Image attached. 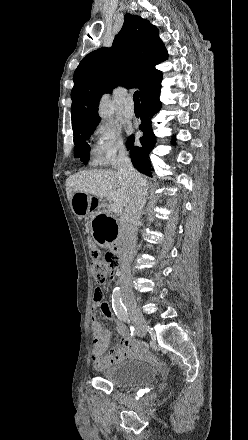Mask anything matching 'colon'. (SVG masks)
I'll use <instances>...</instances> for the list:
<instances>
[{"label": "colon", "mask_w": 248, "mask_h": 440, "mask_svg": "<svg viewBox=\"0 0 248 440\" xmlns=\"http://www.w3.org/2000/svg\"><path fill=\"white\" fill-rule=\"evenodd\" d=\"M92 273L98 283H103L108 276L112 267H118V258L112 252H106L101 258V252L98 249L91 251ZM104 293L101 288L97 287L94 292V299L102 300Z\"/></svg>", "instance_id": "5ec220e1"}]
</instances>
